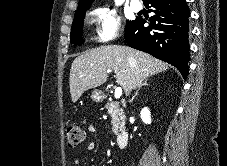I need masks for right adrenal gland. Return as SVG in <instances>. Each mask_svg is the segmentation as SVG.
I'll use <instances>...</instances> for the list:
<instances>
[{"mask_svg":"<svg viewBox=\"0 0 227 166\" xmlns=\"http://www.w3.org/2000/svg\"><path fill=\"white\" fill-rule=\"evenodd\" d=\"M147 85H148V81L145 80V81L141 84V86L139 87V89L136 91L135 95L132 97V99L130 100V102H133V101H134V99H135V97L137 96L138 91L140 90V88L143 87V86H147Z\"/></svg>","mask_w":227,"mask_h":166,"instance_id":"obj_1","label":"right adrenal gland"}]
</instances>
